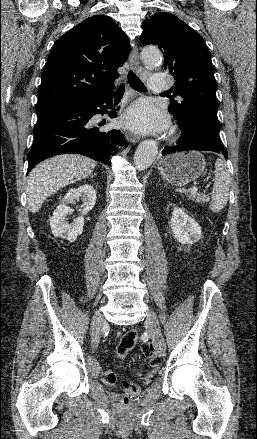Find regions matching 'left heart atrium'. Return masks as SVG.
<instances>
[{"mask_svg":"<svg viewBox=\"0 0 257 439\" xmlns=\"http://www.w3.org/2000/svg\"><path fill=\"white\" fill-rule=\"evenodd\" d=\"M123 122L135 131L142 133L161 132L168 123L167 116L148 101H141L130 107Z\"/></svg>","mask_w":257,"mask_h":439,"instance_id":"left-heart-atrium-1","label":"left heart atrium"}]
</instances>
